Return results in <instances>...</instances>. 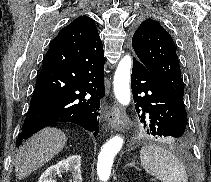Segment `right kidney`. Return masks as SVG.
I'll return each mask as SVG.
<instances>
[{
    "label": "right kidney",
    "mask_w": 211,
    "mask_h": 182,
    "mask_svg": "<svg viewBox=\"0 0 211 182\" xmlns=\"http://www.w3.org/2000/svg\"><path fill=\"white\" fill-rule=\"evenodd\" d=\"M70 171L73 182H82L81 177V157L79 155H72L67 159H63L52 165L44 171L38 182H56L55 178L61 173Z\"/></svg>",
    "instance_id": "1"
}]
</instances>
